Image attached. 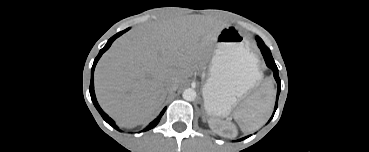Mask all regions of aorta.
<instances>
[{
	"mask_svg": "<svg viewBox=\"0 0 369 152\" xmlns=\"http://www.w3.org/2000/svg\"><path fill=\"white\" fill-rule=\"evenodd\" d=\"M196 91L193 88H187L184 90L182 97L186 101H194L196 99Z\"/></svg>",
	"mask_w": 369,
	"mask_h": 152,
	"instance_id": "762f6f07",
	"label": "aorta"
}]
</instances>
